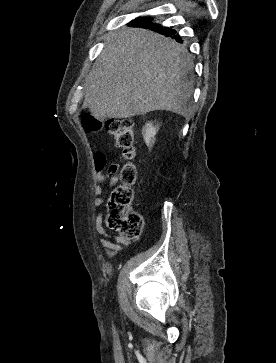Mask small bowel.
<instances>
[{
    "mask_svg": "<svg viewBox=\"0 0 276 363\" xmlns=\"http://www.w3.org/2000/svg\"><path fill=\"white\" fill-rule=\"evenodd\" d=\"M107 164V154L105 152H97L94 155L93 165L95 170L96 184L93 187V192L96 195L93 200L94 207H101L103 205V199L100 197L105 187L102 185L104 182H108V185H113L118 182L117 176H111L113 172L120 168V164L115 163L109 167V172H104ZM96 229L101 235L99 239L100 244L106 249L108 256H116L124 246L128 244V241L120 236H113L109 234L102 225V215L99 214L96 218Z\"/></svg>",
    "mask_w": 276,
    "mask_h": 363,
    "instance_id": "c3829d8e",
    "label": "small bowel"
}]
</instances>
